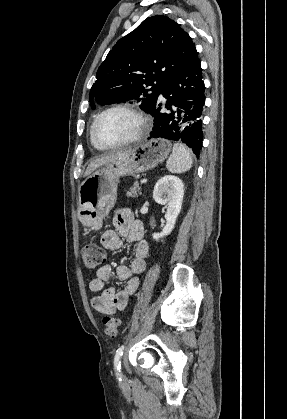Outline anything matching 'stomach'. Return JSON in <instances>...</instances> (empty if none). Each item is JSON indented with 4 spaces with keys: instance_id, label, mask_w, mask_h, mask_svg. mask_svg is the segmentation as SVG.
I'll list each match as a JSON object with an SVG mask.
<instances>
[{
    "instance_id": "obj_1",
    "label": "stomach",
    "mask_w": 287,
    "mask_h": 419,
    "mask_svg": "<svg viewBox=\"0 0 287 419\" xmlns=\"http://www.w3.org/2000/svg\"><path fill=\"white\" fill-rule=\"evenodd\" d=\"M170 151L168 140L152 139L90 174L79 186V217L90 226L100 224L115 204L119 178L151 170Z\"/></svg>"
}]
</instances>
